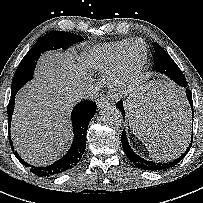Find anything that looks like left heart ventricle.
<instances>
[{"mask_svg":"<svg viewBox=\"0 0 203 203\" xmlns=\"http://www.w3.org/2000/svg\"><path fill=\"white\" fill-rule=\"evenodd\" d=\"M143 48L140 44H134L129 51L128 63L130 67L136 66L143 58Z\"/></svg>","mask_w":203,"mask_h":203,"instance_id":"left-heart-ventricle-1","label":"left heart ventricle"}]
</instances>
